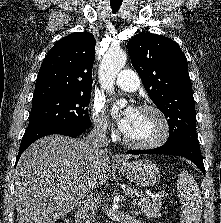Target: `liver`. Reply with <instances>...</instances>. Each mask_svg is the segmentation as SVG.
<instances>
[{"mask_svg":"<svg viewBox=\"0 0 221 223\" xmlns=\"http://www.w3.org/2000/svg\"><path fill=\"white\" fill-rule=\"evenodd\" d=\"M85 141L50 135L24 151L15 170L18 223H54L107 181L108 153L97 162Z\"/></svg>","mask_w":221,"mask_h":223,"instance_id":"1","label":"liver"}]
</instances>
